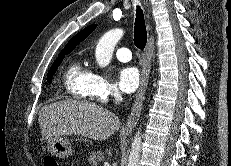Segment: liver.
Here are the masks:
<instances>
[{
  "mask_svg": "<svg viewBox=\"0 0 231 166\" xmlns=\"http://www.w3.org/2000/svg\"><path fill=\"white\" fill-rule=\"evenodd\" d=\"M39 124L43 140L74 134L102 141L119 130L121 123L113 112L100 105L66 100L42 107Z\"/></svg>",
  "mask_w": 231,
  "mask_h": 166,
  "instance_id": "1",
  "label": "liver"
}]
</instances>
